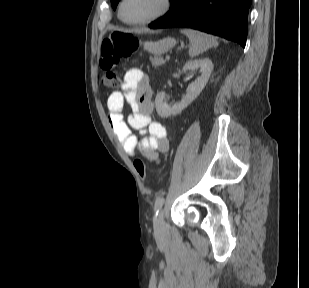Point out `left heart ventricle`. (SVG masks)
<instances>
[{
  "mask_svg": "<svg viewBox=\"0 0 309 288\" xmlns=\"http://www.w3.org/2000/svg\"><path fill=\"white\" fill-rule=\"evenodd\" d=\"M160 8V0H126L123 16L128 21H139L154 14Z\"/></svg>",
  "mask_w": 309,
  "mask_h": 288,
  "instance_id": "left-heart-ventricle-1",
  "label": "left heart ventricle"
}]
</instances>
